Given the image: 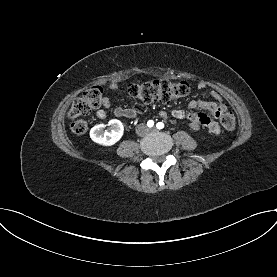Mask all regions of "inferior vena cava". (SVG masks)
<instances>
[{
  "label": "inferior vena cava",
  "instance_id": "1",
  "mask_svg": "<svg viewBox=\"0 0 277 277\" xmlns=\"http://www.w3.org/2000/svg\"><path fill=\"white\" fill-rule=\"evenodd\" d=\"M147 132V128L144 124H139L136 127V133L138 136H143Z\"/></svg>",
  "mask_w": 277,
  "mask_h": 277
}]
</instances>
